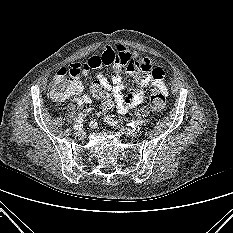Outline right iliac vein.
Instances as JSON below:
<instances>
[{
    "label": "right iliac vein",
    "mask_w": 233,
    "mask_h": 233,
    "mask_svg": "<svg viewBox=\"0 0 233 233\" xmlns=\"http://www.w3.org/2000/svg\"><path fill=\"white\" fill-rule=\"evenodd\" d=\"M84 136H85V134H84V132H83L82 130L76 132V137H77L78 139H83Z\"/></svg>",
    "instance_id": "right-iliac-vein-1"
}]
</instances>
